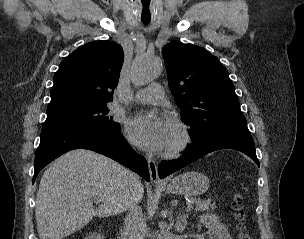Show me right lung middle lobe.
<instances>
[{"label": "right lung middle lobe", "instance_id": "obj_1", "mask_svg": "<svg viewBox=\"0 0 304 239\" xmlns=\"http://www.w3.org/2000/svg\"><path fill=\"white\" fill-rule=\"evenodd\" d=\"M106 105L73 110L65 113L47 116L42 132L57 130H92L105 133L120 132V125L107 116Z\"/></svg>", "mask_w": 304, "mask_h": 239}]
</instances>
